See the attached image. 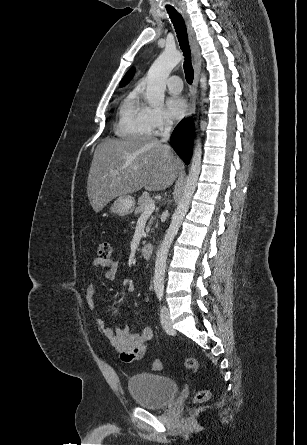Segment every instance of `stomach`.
Listing matches in <instances>:
<instances>
[{"label": "stomach", "mask_w": 307, "mask_h": 445, "mask_svg": "<svg viewBox=\"0 0 307 445\" xmlns=\"http://www.w3.org/2000/svg\"><path fill=\"white\" fill-rule=\"evenodd\" d=\"M135 204L134 196H117L110 206V212L119 214V216H126V214L133 212Z\"/></svg>", "instance_id": "stomach-1"}]
</instances>
